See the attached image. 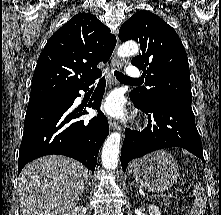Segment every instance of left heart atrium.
<instances>
[{
  "label": "left heart atrium",
  "mask_w": 221,
  "mask_h": 215,
  "mask_svg": "<svg viewBox=\"0 0 221 215\" xmlns=\"http://www.w3.org/2000/svg\"><path fill=\"white\" fill-rule=\"evenodd\" d=\"M102 111L108 116L119 118L124 114V106L122 97L113 93L110 94L102 103Z\"/></svg>",
  "instance_id": "left-heart-atrium-1"
}]
</instances>
